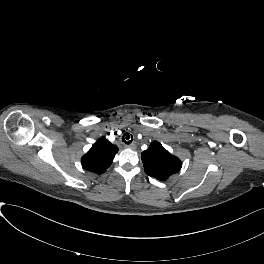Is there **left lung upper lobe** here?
Wrapping results in <instances>:
<instances>
[{
	"instance_id": "left-lung-upper-lobe-1",
	"label": "left lung upper lobe",
	"mask_w": 264,
	"mask_h": 264,
	"mask_svg": "<svg viewBox=\"0 0 264 264\" xmlns=\"http://www.w3.org/2000/svg\"><path fill=\"white\" fill-rule=\"evenodd\" d=\"M147 175L160 181H166L171 175L180 171L182 163L171 155L159 142L154 141L141 154Z\"/></svg>"
}]
</instances>
